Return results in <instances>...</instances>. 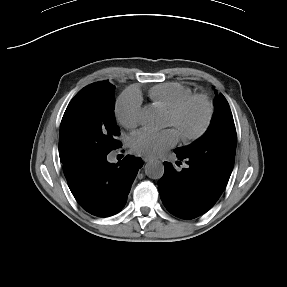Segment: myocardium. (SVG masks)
Segmentation results:
<instances>
[{
  "label": "myocardium",
  "mask_w": 287,
  "mask_h": 287,
  "mask_svg": "<svg viewBox=\"0 0 287 287\" xmlns=\"http://www.w3.org/2000/svg\"><path fill=\"white\" fill-rule=\"evenodd\" d=\"M194 103H199L204 108V120L202 125L198 130L192 133H181L180 138L183 142L189 143L200 139L209 129L212 117H213V106L208 97L204 94H192L183 101H181L177 106L168 112V115L172 118H177L180 116L190 105Z\"/></svg>",
  "instance_id": "obj_1"
}]
</instances>
